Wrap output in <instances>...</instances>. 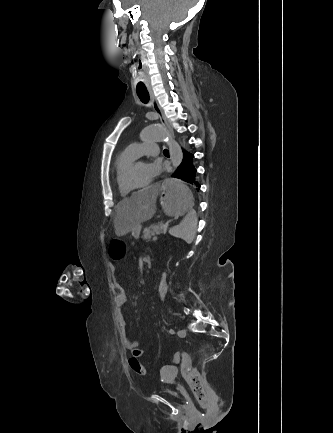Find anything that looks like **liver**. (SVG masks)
<instances>
[{
  "label": "liver",
  "instance_id": "obj_1",
  "mask_svg": "<svg viewBox=\"0 0 333 433\" xmlns=\"http://www.w3.org/2000/svg\"><path fill=\"white\" fill-rule=\"evenodd\" d=\"M147 188L141 192H133L131 198L123 199L117 204L114 218L116 236H124L134 229L140 230L141 224L154 216L156 192L160 187L158 183H149Z\"/></svg>",
  "mask_w": 333,
  "mask_h": 433
}]
</instances>
